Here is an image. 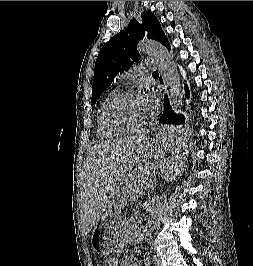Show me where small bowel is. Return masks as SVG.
Wrapping results in <instances>:
<instances>
[{
	"instance_id": "c3829d8e",
	"label": "small bowel",
	"mask_w": 253,
	"mask_h": 266,
	"mask_svg": "<svg viewBox=\"0 0 253 266\" xmlns=\"http://www.w3.org/2000/svg\"><path fill=\"white\" fill-rule=\"evenodd\" d=\"M107 263L110 264V266H118L119 264L116 258H109ZM122 266H140V263L135 257H128L123 261Z\"/></svg>"
}]
</instances>
